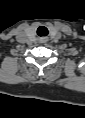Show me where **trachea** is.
Returning <instances> with one entry per match:
<instances>
[{
    "label": "trachea",
    "instance_id": "trachea-1",
    "mask_svg": "<svg viewBox=\"0 0 85 118\" xmlns=\"http://www.w3.org/2000/svg\"><path fill=\"white\" fill-rule=\"evenodd\" d=\"M44 30H46V28L43 27V26H41V27H39V28L37 29V32H38V34H39L40 32H43Z\"/></svg>",
    "mask_w": 85,
    "mask_h": 118
}]
</instances>
